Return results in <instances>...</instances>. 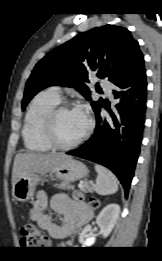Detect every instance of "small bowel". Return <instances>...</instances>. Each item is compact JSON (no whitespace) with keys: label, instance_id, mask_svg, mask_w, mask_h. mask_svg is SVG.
<instances>
[{"label":"small bowel","instance_id":"1","mask_svg":"<svg viewBox=\"0 0 162 261\" xmlns=\"http://www.w3.org/2000/svg\"><path fill=\"white\" fill-rule=\"evenodd\" d=\"M52 208L62 216L63 222L61 228H56L50 217L45 213L47 207V195L41 191L36 195V199L29 209V218L34 221L40 229L49 230L53 235L63 232V228L71 231L75 226L74 215L77 209L73 205V201L63 194L55 195L51 200Z\"/></svg>","mask_w":162,"mask_h":261}]
</instances>
